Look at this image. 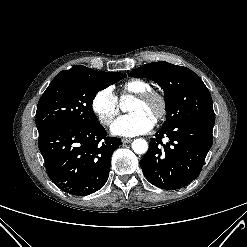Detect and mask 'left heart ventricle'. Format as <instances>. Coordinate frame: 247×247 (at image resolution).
I'll list each match as a JSON object with an SVG mask.
<instances>
[{
	"instance_id": "1",
	"label": "left heart ventricle",
	"mask_w": 247,
	"mask_h": 247,
	"mask_svg": "<svg viewBox=\"0 0 247 247\" xmlns=\"http://www.w3.org/2000/svg\"><path fill=\"white\" fill-rule=\"evenodd\" d=\"M157 110H158V103L156 101L142 103L135 99L130 107L131 112L143 111L154 118L157 113Z\"/></svg>"
}]
</instances>
